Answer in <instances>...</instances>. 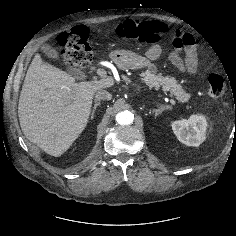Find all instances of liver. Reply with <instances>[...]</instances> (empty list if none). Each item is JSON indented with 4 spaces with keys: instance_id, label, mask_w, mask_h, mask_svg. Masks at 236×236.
Returning <instances> with one entry per match:
<instances>
[{
    "instance_id": "1",
    "label": "liver",
    "mask_w": 236,
    "mask_h": 236,
    "mask_svg": "<svg viewBox=\"0 0 236 236\" xmlns=\"http://www.w3.org/2000/svg\"><path fill=\"white\" fill-rule=\"evenodd\" d=\"M113 85L112 78L76 83L74 77L36 54L18 104L25 137L47 154L61 156L86 128L94 93Z\"/></svg>"
}]
</instances>
